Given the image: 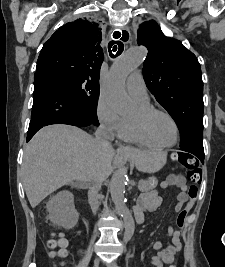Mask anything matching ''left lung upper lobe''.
Segmentation results:
<instances>
[{
	"instance_id": "5c2ea615",
	"label": "left lung upper lobe",
	"mask_w": 225,
	"mask_h": 267,
	"mask_svg": "<svg viewBox=\"0 0 225 267\" xmlns=\"http://www.w3.org/2000/svg\"><path fill=\"white\" fill-rule=\"evenodd\" d=\"M137 43L147 47L143 73L149 91L180 131V147L203 146V81L196 56L166 37L155 21L139 26Z\"/></svg>"
}]
</instances>
